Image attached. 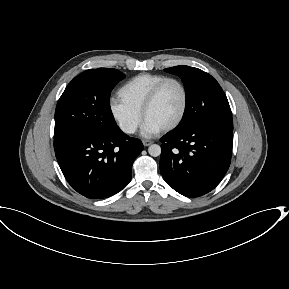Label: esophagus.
Returning <instances> with one entry per match:
<instances>
[{
  "mask_svg": "<svg viewBox=\"0 0 289 289\" xmlns=\"http://www.w3.org/2000/svg\"><path fill=\"white\" fill-rule=\"evenodd\" d=\"M153 143V141H151V140H143V145L144 146H149V145H151Z\"/></svg>",
  "mask_w": 289,
  "mask_h": 289,
  "instance_id": "34e87169",
  "label": "esophagus"
}]
</instances>
